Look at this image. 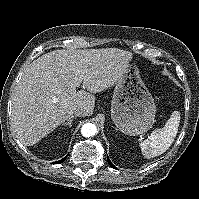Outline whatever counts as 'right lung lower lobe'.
I'll use <instances>...</instances> for the list:
<instances>
[{
  "instance_id": "obj_1",
  "label": "right lung lower lobe",
  "mask_w": 199,
  "mask_h": 199,
  "mask_svg": "<svg viewBox=\"0 0 199 199\" xmlns=\"http://www.w3.org/2000/svg\"><path fill=\"white\" fill-rule=\"evenodd\" d=\"M65 158H66V157H65ZM65 158L59 160L57 163H62V162H64V161H65Z\"/></svg>"
}]
</instances>
